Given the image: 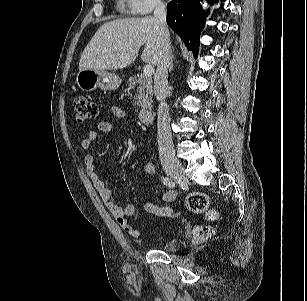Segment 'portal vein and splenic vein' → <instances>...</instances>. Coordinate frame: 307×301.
I'll return each mask as SVG.
<instances>
[{
  "label": "portal vein and splenic vein",
  "mask_w": 307,
  "mask_h": 301,
  "mask_svg": "<svg viewBox=\"0 0 307 301\" xmlns=\"http://www.w3.org/2000/svg\"><path fill=\"white\" fill-rule=\"evenodd\" d=\"M143 73L147 77L152 76L154 74V67L151 64H146L143 68Z\"/></svg>",
  "instance_id": "obj_1"
}]
</instances>
